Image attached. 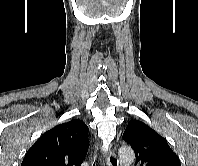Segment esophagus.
Here are the masks:
<instances>
[{
    "label": "esophagus",
    "mask_w": 198,
    "mask_h": 166,
    "mask_svg": "<svg viewBox=\"0 0 198 166\" xmlns=\"http://www.w3.org/2000/svg\"><path fill=\"white\" fill-rule=\"evenodd\" d=\"M107 166H119V160L114 151L110 150L106 157Z\"/></svg>",
    "instance_id": "esophagus-1"
}]
</instances>
